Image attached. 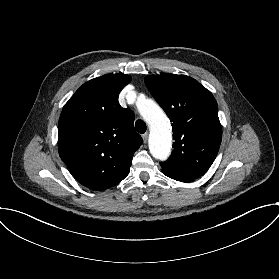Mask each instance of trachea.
<instances>
[{"label": "trachea", "instance_id": "obj_1", "mask_svg": "<svg viewBox=\"0 0 279 279\" xmlns=\"http://www.w3.org/2000/svg\"><path fill=\"white\" fill-rule=\"evenodd\" d=\"M135 127L139 133H145L146 131V124L143 120H137L135 123Z\"/></svg>", "mask_w": 279, "mask_h": 279}]
</instances>
